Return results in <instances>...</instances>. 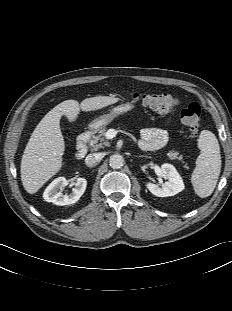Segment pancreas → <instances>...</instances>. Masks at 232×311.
<instances>
[{
    "label": "pancreas",
    "mask_w": 232,
    "mask_h": 311,
    "mask_svg": "<svg viewBox=\"0 0 232 311\" xmlns=\"http://www.w3.org/2000/svg\"><path fill=\"white\" fill-rule=\"evenodd\" d=\"M106 127H102L100 130H98L97 134L92 135V138L90 140V146L92 147L93 150H98L99 148H102L104 145L109 146L110 143L105 139L106 136ZM167 156L171 159H178L182 163L183 157L182 155H179L178 152H175L174 150H171L167 153Z\"/></svg>",
    "instance_id": "obj_1"
}]
</instances>
